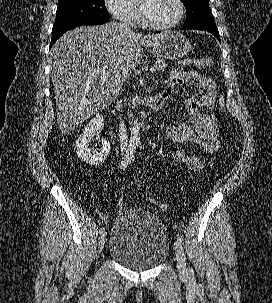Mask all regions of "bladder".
<instances>
[{
  "mask_svg": "<svg viewBox=\"0 0 272 303\" xmlns=\"http://www.w3.org/2000/svg\"><path fill=\"white\" fill-rule=\"evenodd\" d=\"M170 249L169 233L155 214L127 209L115 218L109 240V255L133 270H147L162 263Z\"/></svg>",
  "mask_w": 272,
  "mask_h": 303,
  "instance_id": "bladder-1",
  "label": "bladder"
}]
</instances>
